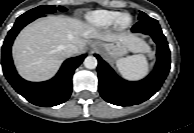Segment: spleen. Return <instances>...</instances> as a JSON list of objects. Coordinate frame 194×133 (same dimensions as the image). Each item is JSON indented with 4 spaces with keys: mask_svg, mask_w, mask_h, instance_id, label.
I'll list each match as a JSON object with an SVG mask.
<instances>
[{
    "mask_svg": "<svg viewBox=\"0 0 194 133\" xmlns=\"http://www.w3.org/2000/svg\"><path fill=\"white\" fill-rule=\"evenodd\" d=\"M116 65L121 75L128 80L142 79L149 70L147 59L143 54L120 58Z\"/></svg>",
    "mask_w": 194,
    "mask_h": 133,
    "instance_id": "obj_1",
    "label": "spleen"
}]
</instances>
